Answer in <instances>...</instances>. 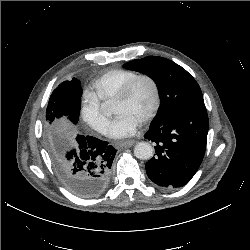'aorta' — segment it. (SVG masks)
Returning <instances> with one entry per match:
<instances>
[{
  "label": "aorta",
  "mask_w": 250,
  "mask_h": 250,
  "mask_svg": "<svg viewBox=\"0 0 250 250\" xmlns=\"http://www.w3.org/2000/svg\"><path fill=\"white\" fill-rule=\"evenodd\" d=\"M134 155L141 160H149L153 156V148L147 142H139L135 145Z\"/></svg>",
  "instance_id": "aorta-1"
}]
</instances>
